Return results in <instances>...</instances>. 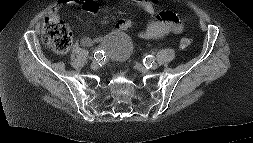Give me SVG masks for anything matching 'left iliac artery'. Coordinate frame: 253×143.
<instances>
[{
    "instance_id": "44dca946",
    "label": "left iliac artery",
    "mask_w": 253,
    "mask_h": 143,
    "mask_svg": "<svg viewBox=\"0 0 253 143\" xmlns=\"http://www.w3.org/2000/svg\"><path fill=\"white\" fill-rule=\"evenodd\" d=\"M155 57L153 55H148L144 58L143 63L146 68L149 69L150 66H152V63H154Z\"/></svg>"
}]
</instances>
